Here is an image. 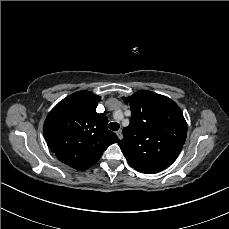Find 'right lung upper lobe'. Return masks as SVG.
Returning <instances> with one entry per match:
<instances>
[{
	"mask_svg": "<svg viewBox=\"0 0 229 229\" xmlns=\"http://www.w3.org/2000/svg\"><path fill=\"white\" fill-rule=\"evenodd\" d=\"M100 99L88 91L75 92L60 101L44 122V136L51 151L79 171L94 165L108 146L119 141L107 129L106 115L96 112Z\"/></svg>",
	"mask_w": 229,
	"mask_h": 229,
	"instance_id": "cb5924a9",
	"label": "right lung upper lobe"
}]
</instances>
